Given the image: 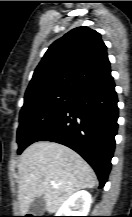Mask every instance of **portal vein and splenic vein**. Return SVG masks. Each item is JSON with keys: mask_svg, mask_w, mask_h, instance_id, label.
<instances>
[{"mask_svg": "<svg viewBox=\"0 0 132 217\" xmlns=\"http://www.w3.org/2000/svg\"><path fill=\"white\" fill-rule=\"evenodd\" d=\"M52 186H57V184L54 181L50 182Z\"/></svg>", "mask_w": 132, "mask_h": 217, "instance_id": "obj_1", "label": "portal vein and splenic vein"}]
</instances>
